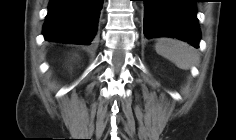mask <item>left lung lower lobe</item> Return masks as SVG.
<instances>
[{
    "instance_id": "0a47b994",
    "label": "left lung lower lobe",
    "mask_w": 236,
    "mask_h": 140,
    "mask_svg": "<svg viewBox=\"0 0 236 140\" xmlns=\"http://www.w3.org/2000/svg\"><path fill=\"white\" fill-rule=\"evenodd\" d=\"M146 38L176 37L199 47L196 0H144Z\"/></svg>"
}]
</instances>
